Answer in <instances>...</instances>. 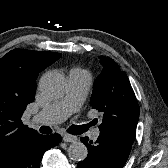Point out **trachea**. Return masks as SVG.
<instances>
[{
    "mask_svg": "<svg viewBox=\"0 0 168 168\" xmlns=\"http://www.w3.org/2000/svg\"><path fill=\"white\" fill-rule=\"evenodd\" d=\"M90 126H92V123H89L87 125H80V126L72 125L71 127H69V129L67 131H68V133H70L72 135H80V134L86 132ZM39 130L43 134L52 133V130L48 126H42V127H40Z\"/></svg>",
    "mask_w": 168,
    "mask_h": 168,
    "instance_id": "obj_1",
    "label": "trachea"
}]
</instances>
